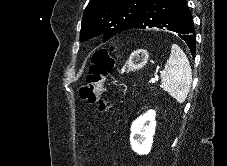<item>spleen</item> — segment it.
Returning a JSON list of instances; mask_svg holds the SVG:
<instances>
[{
    "label": "spleen",
    "instance_id": "obj_1",
    "mask_svg": "<svg viewBox=\"0 0 227 166\" xmlns=\"http://www.w3.org/2000/svg\"><path fill=\"white\" fill-rule=\"evenodd\" d=\"M191 83L192 71L189 61L182 49L173 44L170 57L161 72V87L178 103H183L190 91Z\"/></svg>",
    "mask_w": 227,
    "mask_h": 166
}]
</instances>
